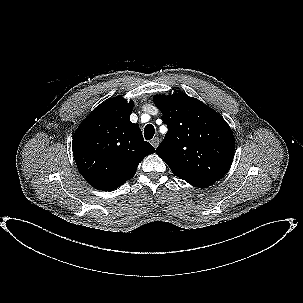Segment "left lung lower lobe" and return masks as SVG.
I'll use <instances>...</instances> for the list:
<instances>
[{
	"label": "left lung lower lobe",
	"instance_id": "obj_1",
	"mask_svg": "<svg viewBox=\"0 0 303 303\" xmlns=\"http://www.w3.org/2000/svg\"><path fill=\"white\" fill-rule=\"evenodd\" d=\"M214 184V182L191 183L192 186L203 188Z\"/></svg>",
	"mask_w": 303,
	"mask_h": 303
}]
</instances>
